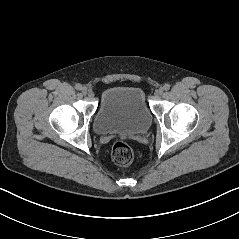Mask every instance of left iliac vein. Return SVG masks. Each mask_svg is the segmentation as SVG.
<instances>
[{"instance_id": "obj_1", "label": "left iliac vein", "mask_w": 239, "mask_h": 239, "mask_svg": "<svg viewBox=\"0 0 239 239\" xmlns=\"http://www.w3.org/2000/svg\"><path fill=\"white\" fill-rule=\"evenodd\" d=\"M164 92V87H160L158 90H157V94L158 95H162Z\"/></svg>"}]
</instances>
